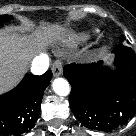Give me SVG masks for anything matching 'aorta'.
Here are the masks:
<instances>
[{"label":"aorta","instance_id":"1","mask_svg":"<svg viewBox=\"0 0 136 136\" xmlns=\"http://www.w3.org/2000/svg\"><path fill=\"white\" fill-rule=\"evenodd\" d=\"M53 90L59 96H67L70 93L69 83L63 78H57L53 81Z\"/></svg>","mask_w":136,"mask_h":136}]
</instances>
